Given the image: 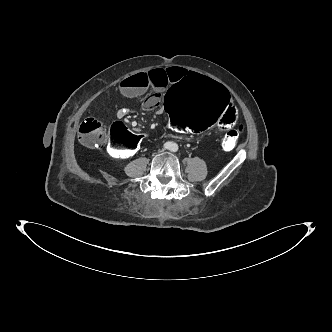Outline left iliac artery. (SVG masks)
<instances>
[{
  "mask_svg": "<svg viewBox=\"0 0 332 332\" xmlns=\"http://www.w3.org/2000/svg\"><path fill=\"white\" fill-rule=\"evenodd\" d=\"M171 151L177 152L178 151V145L177 144H172Z\"/></svg>",
  "mask_w": 332,
  "mask_h": 332,
  "instance_id": "left-iliac-artery-1",
  "label": "left iliac artery"
}]
</instances>
